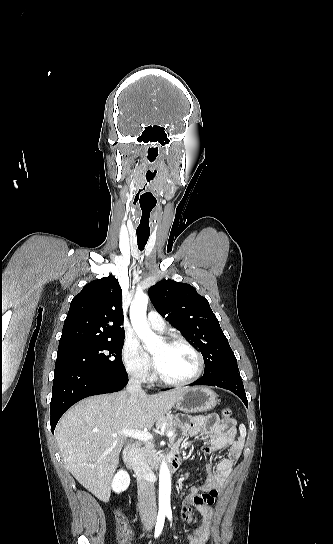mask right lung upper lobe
I'll return each mask as SVG.
<instances>
[{"label": "right lung upper lobe", "instance_id": "1", "mask_svg": "<svg viewBox=\"0 0 333 544\" xmlns=\"http://www.w3.org/2000/svg\"><path fill=\"white\" fill-rule=\"evenodd\" d=\"M122 290L114 276L86 284L71 301L59 348L125 335Z\"/></svg>", "mask_w": 333, "mask_h": 544}]
</instances>
